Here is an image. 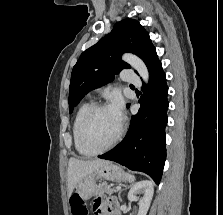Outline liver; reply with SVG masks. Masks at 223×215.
I'll use <instances>...</instances> for the list:
<instances>
[{
  "label": "liver",
  "mask_w": 223,
  "mask_h": 215,
  "mask_svg": "<svg viewBox=\"0 0 223 215\" xmlns=\"http://www.w3.org/2000/svg\"><path fill=\"white\" fill-rule=\"evenodd\" d=\"M103 163H107L106 159H76V157H70L67 169L68 197L72 195L74 187L81 179L96 171Z\"/></svg>",
  "instance_id": "obj_1"
}]
</instances>
